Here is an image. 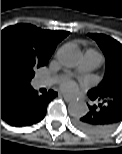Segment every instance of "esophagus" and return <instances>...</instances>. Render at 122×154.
Here are the masks:
<instances>
[{
  "label": "esophagus",
  "mask_w": 122,
  "mask_h": 154,
  "mask_svg": "<svg viewBox=\"0 0 122 154\" xmlns=\"http://www.w3.org/2000/svg\"><path fill=\"white\" fill-rule=\"evenodd\" d=\"M62 96H63V98H64V100H65L66 102H71V101L73 100L72 97H70V96H68V95H66V94H62Z\"/></svg>",
  "instance_id": "34e87169"
}]
</instances>
